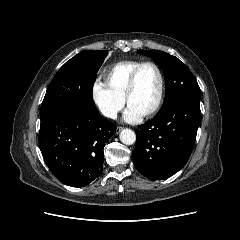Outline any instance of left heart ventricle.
<instances>
[{
	"label": "left heart ventricle",
	"mask_w": 240,
	"mask_h": 240,
	"mask_svg": "<svg viewBox=\"0 0 240 240\" xmlns=\"http://www.w3.org/2000/svg\"><path fill=\"white\" fill-rule=\"evenodd\" d=\"M159 90V77L156 70L146 66L139 72L136 88L130 96L129 105L141 114L148 111L154 104Z\"/></svg>",
	"instance_id": "1"
}]
</instances>
